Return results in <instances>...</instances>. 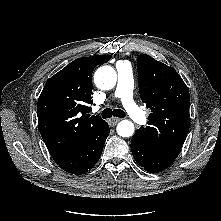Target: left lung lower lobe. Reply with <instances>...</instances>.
I'll return each mask as SVG.
<instances>
[{
	"label": "left lung lower lobe",
	"mask_w": 221,
	"mask_h": 221,
	"mask_svg": "<svg viewBox=\"0 0 221 221\" xmlns=\"http://www.w3.org/2000/svg\"><path fill=\"white\" fill-rule=\"evenodd\" d=\"M131 151L135 161L150 173L165 170L178 156V154L159 150L137 133L132 137Z\"/></svg>",
	"instance_id": "0a47b994"
}]
</instances>
